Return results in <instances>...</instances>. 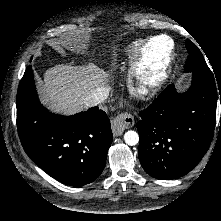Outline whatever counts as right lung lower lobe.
<instances>
[{
  "label": "right lung lower lobe",
  "instance_id": "1",
  "mask_svg": "<svg viewBox=\"0 0 221 221\" xmlns=\"http://www.w3.org/2000/svg\"><path fill=\"white\" fill-rule=\"evenodd\" d=\"M17 128L28 156L51 177L70 186L89 184L102 173L113 138L110 121L98 107L73 116L44 108L31 66L18 87Z\"/></svg>",
  "mask_w": 221,
  "mask_h": 221
}]
</instances>
